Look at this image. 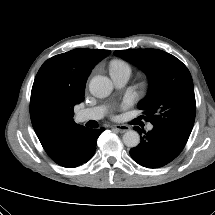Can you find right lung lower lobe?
<instances>
[{
  "mask_svg": "<svg viewBox=\"0 0 215 215\" xmlns=\"http://www.w3.org/2000/svg\"><path fill=\"white\" fill-rule=\"evenodd\" d=\"M103 129L83 127L73 134L63 156L55 162L63 167L74 168L88 162L96 151L97 139Z\"/></svg>",
  "mask_w": 215,
  "mask_h": 215,
  "instance_id": "obj_1",
  "label": "right lung lower lobe"
}]
</instances>
